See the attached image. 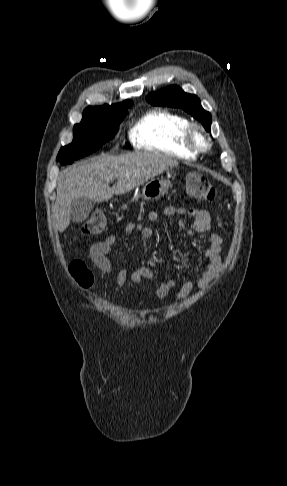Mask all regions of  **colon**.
<instances>
[{
	"mask_svg": "<svg viewBox=\"0 0 287 486\" xmlns=\"http://www.w3.org/2000/svg\"><path fill=\"white\" fill-rule=\"evenodd\" d=\"M188 193L202 201H212L216 197V190L213 184L203 175L193 173L188 175ZM106 226V219L102 213L92 214L83 224V232L89 235L100 234ZM70 272L75 280L84 288H88L93 283L91 271L82 261H73L69 266Z\"/></svg>",
	"mask_w": 287,
	"mask_h": 486,
	"instance_id": "5ec220e1",
	"label": "colon"
}]
</instances>
